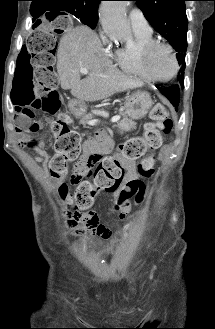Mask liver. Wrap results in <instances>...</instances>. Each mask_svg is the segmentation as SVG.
I'll use <instances>...</instances> for the list:
<instances>
[{
  "label": "liver",
  "instance_id": "1",
  "mask_svg": "<svg viewBox=\"0 0 215 329\" xmlns=\"http://www.w3.org/2000/svg\"><path fill=\"white\" fill-rule=\"evenodd\" d=\"M81 68L88 76L81 80ZM57 72L61 87L71 89L78 100L98 101L115 93L142 87L144 83L120 72L104 54L100 39L90 28L77 26L60 39Z\"/></svg>",
  "mask_w": 215,
  "mask_h": 329
}]
</instances>
